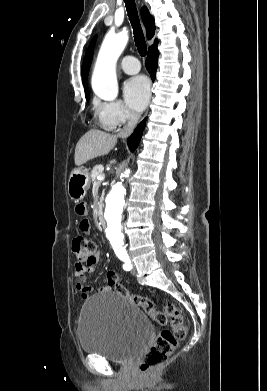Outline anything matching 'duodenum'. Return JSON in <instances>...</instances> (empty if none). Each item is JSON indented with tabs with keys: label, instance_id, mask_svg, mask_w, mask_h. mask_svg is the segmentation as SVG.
<instances>
[{
	"label": "duodenum",
	"instance_id": "1",
	"mask_svg": "<svg viewBox=\"0 0 267 391\" xmlns=\"http://www.w3.org/2000/svg\"><path fill=\"white\" fill-rule=\"evenodd\" d=\"M98 216H99V224H100V227H101L102 229H105V228H106V221H105V218H104V214H103V210H102V209L99 210Z\"/></svg>",
	"mask_w": 267,
	"mask_h": 391
}]
</instances>
